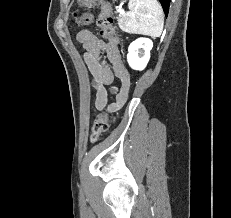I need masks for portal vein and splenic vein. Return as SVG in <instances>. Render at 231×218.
Instances as JSON below:
<instances>
[{
    "instance_id": "portal-vein-and-splenic-vein-1",
    "label": "portal vein and splenic vein",
    "mask_w": 231,
    "mask_h": 218,
    "mask_svg": "<svg viewBox=\"0 0 231 218\" xmlns=\"http://www.w3.org/2000/svg\"><path fill=\"white\" fill-rule=\"evenodd\" d=\"M119 13H120V14H123V13H124V11H123V10H120V11H119Z\"/></svg>"
}]
</instances>
